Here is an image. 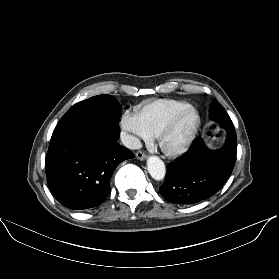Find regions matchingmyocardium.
Listing matches in <instances>:
<instances>
[{
  "label": "myocardium",
  "instance_id": "myocardium-1",
  "mask_svg": "<svg viewBox=\"0 0 279 279\" xmlns=\"http://www.w3.org/2000/svg\"><path fill=\"white\" fill-rule=\"evenodd\" d=\"M193 113L195 115V122L191 129L189 130L188 134L186 135L184 141L177 147H168L165 144L166 138L169 136V134L172 132L176 124L183 118L186 114ZM201 124V118L199 115V112L193 107L189 106L187 108H184L178 112H176L167 122L166 124L161 128V130L158 132L156 139L157 144L161 151L169 156V157H176L180 156L183 153H185L189 147L191 146L194 137L200 127Z\"/></svg>",
  "mask_w": 279,
  "mask_h": 279
}]
</instances>
